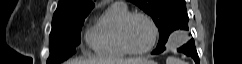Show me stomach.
I'll use <instances>...</instances> for the list:
<instances>
[{
    "mask_svg": "<svg viewBox=\"0 0 242 64\" xmlns=\"http://www.w3.org/2000/svg\"><path fill=\"white\" fill-rule=\"evenodd\" d=\"M142 64H156L155 62L151 61V60H148V62L146 63H142Z\"/></svg>",
    "mask_w": 242,
    "mask_h": 64,
    "instance_id": "stomach-1",
    "label": "stomach"
}]
</instances>
